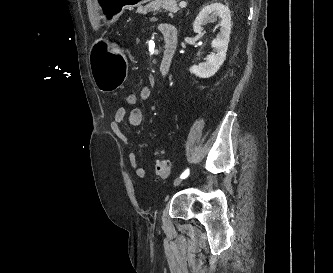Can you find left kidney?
I'll return each instance as SVG.
<instances>
[{
  "mask_svg": "<svg viewBox=\"0 0 333 273\" xmlns=\"http://www.w3.org/2000/svg\"><path fill=\"white\" fill-rule=\"evenodd\" d=\"M217 17L221 20L219 22L220 32L211 42L214 53L208 55L204 63L190 67V72L200 78L213 76L226 59L232 26L231 11L228 6L222 3H211L202 8L193 23L194 32L200 33L203 30V25H206L209 21H216Z\"/></svg>",
  "mask_w": 333,
  "mask_h": 273,
  "instance_id": "left-kidney-1",
  "label": "left kidney"
}]
</instances>
